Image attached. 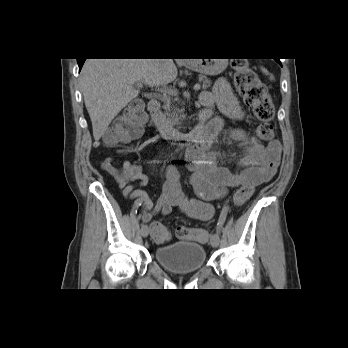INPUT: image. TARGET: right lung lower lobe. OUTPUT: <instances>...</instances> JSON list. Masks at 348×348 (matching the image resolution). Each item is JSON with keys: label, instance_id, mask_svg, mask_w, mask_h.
<instances>
[{"label": "right lung lower lobe", "instance_id": "right-lung-lower-lobe-1", "mask_svg": "<svg viewBox=\"0 0 348 348\" xmlns=\"http://www.w3.org/2000/svg\"><path fill=\"white\" fill-rule=\"evenodd\" d=\"M77 61H78L79 71H80L82 66H83V63H84L85 59H77Z\"/></svg>", "mask_w": 348, "mask_h": 348}]
</instances>
